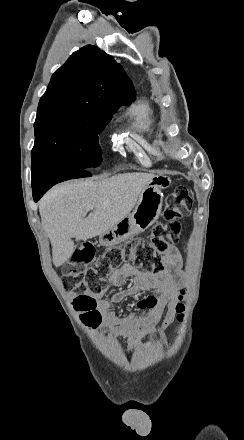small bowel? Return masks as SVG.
Segmentation results:
<instances>
[{
    "label": "small bowel",
    "instance_id": "obj_1",
    "mask_svg": "<svg viewBox=\"0 0 244 440\" xmlns=\"http://www.w3.org/2000/svg\"><path fill=\"white\" fill-rule=\"evenodd\" d=\"M163 263L164 270L157 274L142 272L131 264L125 263L110 272L107 277L108 285L104 290L96 294L86 293L83 296L75 293V300L89 297L95 299V308L99 310L96 324L100 322L102 330L109 331L112 338L121 335L128 337L131 342L130 351L147 346L159 335L154 323L160 319L166 305H169L170 309L166 314L163 329L171 323L176 290L185 277L182 257L176 247H169L163 256ZM127 281H131L129 287L114 292L109 299L104 298L109 290L121 287ZM149 290H154L156 295L148 296L138 303L140 308L149 309L147 315L137 316L130 313L121 316L113 310V304ZM141 334H148L150 341L145 344L137 343V338Z\"/></svg>",
    "mask_w": 244,
    "mask_h": 440
}]
</instances>
